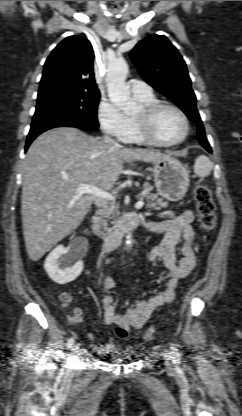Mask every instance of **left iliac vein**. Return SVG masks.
Masks as SVG:
<instances>
[{
  "mask_svg": "<svg viewBox=\"0 0 242 416\" xmlns=\"http://www.w3.org/2000/svg\"><path fill=\"white\" fill-rule=\"evenodd\" d=\"M167 365H168L170 368H172V366H173V364H172V361H171L170 357H168V358H167Z\"/></svg>",
  "mask_w": 242,
  "mask_h": 416,
  "instance_id": "left-iliac-vein-1",
  "label": "left iliac vein"
}]
</instances>
